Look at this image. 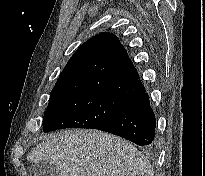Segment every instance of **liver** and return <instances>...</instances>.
I'll use <instances>...</instances> for the list:
<instances>
[{
	"label": "liver",
	"mask_w": 205,
	"mask_h": 176,
	"mask_svg": "<svg viewBox=\"0 0 205 176\" xmlns=\"http://www.w3.org/2000/svg\"><path fill=\"white\" fill-rule=\"evenodd\" d=\"M31 163L49 162L58 176H153L148 159L126 140L95 130L49 135L28 155Z\"/></svg>",
	"instance_id": "obj_1"
}]
</instances>
